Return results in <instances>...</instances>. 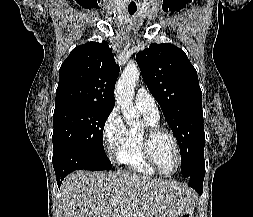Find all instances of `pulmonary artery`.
I'll list each match as a JSON object with an SVG mask.
<instances>
[{"label": "pulmonary artery", "instance_id": "obj_1", "mask_svg": "<svg viewBox=\"0 0 253 217\" xmlns=\"http://www.w3.org/2000/svg\"><path fill=\"white\" fill-rule=\"evenodd\" d=\"M135 103L139 109L159 118V110L156 100L147 89L141 87L137 90Z\"/></svg>", "mask_w": 253, "mask_h": 217}]
</instances>
